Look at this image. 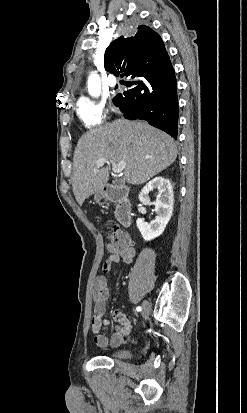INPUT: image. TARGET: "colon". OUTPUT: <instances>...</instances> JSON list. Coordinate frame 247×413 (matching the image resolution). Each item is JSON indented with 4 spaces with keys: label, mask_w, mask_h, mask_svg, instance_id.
<instances>
[{
    "label": "colon",
    "mask_w": 247,
    "mask_h": 413,
    "mask_svg": "<svg viewBox=\"0 0 247 413\" xmlns=\"http://www.w3.org/2000/svg\"><path fill=\"white\" fill-rule=\"evenodd\" d=\"M128 237L126 233L116 227L112 232L108 234L107 238V250L110 252H113L118 249H123L125 247V244L127 243Z\"/></svg>",
    "instance_id": "obj_1"
}]
</instances>
